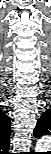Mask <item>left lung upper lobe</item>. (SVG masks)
Instances as JSON below:
<instances>
[{
    "label": "left lung upper lobe",
    "mask_w": 51,
    "mask_h": 154,
    "mask_svg": "<svg viewBox=\"0 0 51 154\" xmlns=\"http://www.w3.org/2000/svg\"><path fill=\"white\" fill-rule=\"evenodd\" d=\"M44 115L41 116L37 122V125H36V128L34 130V135L35 137L39 138L41 137L42 135H44L45 133V130L43 129L44 127Z\"/></svg>",
    "instance_id": "1"
}]
</instances>
